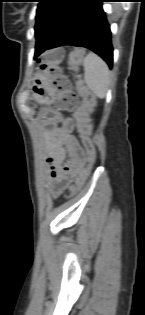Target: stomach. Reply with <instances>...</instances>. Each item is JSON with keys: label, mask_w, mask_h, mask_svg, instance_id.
<instances>
[{"label": "stomach", "mask_w": 145, "mask_h": 315, "mask_svg": "<svg viewBox=\"0 0 145 315\" xmlns=\"http://www.w3.org/2000/svg\"><path fill=\"white\" fill-rule=\"evenodd\" d=\"M49 79V75L46 73L36 72L35 84H32L31 88V98H34L38 103L49 106L53 102V95L50 93L52 91V84L50 86L46 85ZM42 105H39L35 110V115L39 116V122H49L50 116H56V109H44Z\"/></svg>", "instance_id": "0dacf381"}]
</instances>
